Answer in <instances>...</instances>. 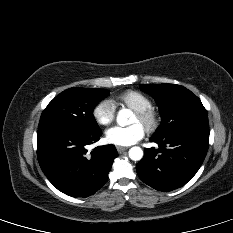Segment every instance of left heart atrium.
<instances>
[{
  "label": "left heart atrium",
  "instance_id": "1",
  "mask_svg": "<svg viewBox=\"0 0 233 233\" xmlns=\"http://www.w3.org/2000/svg\"><path fill=\"white\" fill-rule=\"evenodd\" d=\"M145 135L144 127L135 123L130 126H114L107 130L106 139L109 143L118 146H130L137 143Z\"/></svg>",
  "mask_w": 233,
  "mask_h": 233
}]
</instances>
